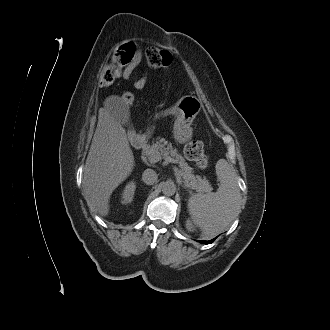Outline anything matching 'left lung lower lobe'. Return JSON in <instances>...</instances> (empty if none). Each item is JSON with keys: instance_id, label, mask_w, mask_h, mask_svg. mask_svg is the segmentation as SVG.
Returning <instances> with one entry per match:
<instances>
[{"instance_id": "0a47b994", "label": "left lung lower lobe", "mask_w": 330, "mask_h": 330, "mask_svg": "<svg viewBox=\"0 0 330 330\" xmlns=\"http://www.w3.org/2000/svg\"><path fill=\"white\" fill-rule=\"evenodd\" d=\"M214 240H215V239L210 240V241H203V240H200L199 242H201V243H205V244H210V243H212Z\"/></svg>"}]
</instances>
